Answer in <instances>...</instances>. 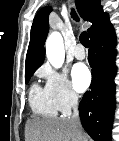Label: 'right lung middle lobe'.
I'll return each instance as SVG.
<instances>
[{
    "instance_id": "obj_1",
    "label": "right lung middle lobe",
    "mask_w": 119,
    "mask_h": 141,
    "mask_svg": "<svg viewBox=\"0 0 119 141\" xmlns=\"http://www.w3.org/2000/svg\"><path fill=\"white\" fill-rule=\"evenodd\" d=\"M34 72L25 73V83H28Z\"/></svg>"
}]
</instances>
